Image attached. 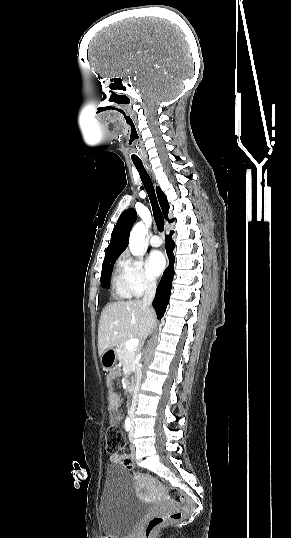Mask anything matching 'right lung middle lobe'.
Here are the masks:
<instances>
[{"label":"right lung middle lobe","instance_id":"dd1d6c3e","mask_svg":"<svg viewBox=\"0 0 291 538\" xmlns=\"http://www.w3.org/2000/svg\"><path fill=\"white\" fill-rule=\"evenodd\" d=\"M115 261L116 259H111V260L103 262L102 264L101 284L104 288H109V279H110L113 264L115 263Z\"/></svg>","mask_w":291,"mask_h":538}]
</instances>
